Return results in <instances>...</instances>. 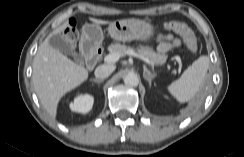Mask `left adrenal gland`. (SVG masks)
I'll return each mask as SVG.
<instances>
[{"mask_svg":"<svg viewBox=\"0 0 244 157\" xmlns=\"http://www.w3.org/2000/svg\"><path fill=\"white\" fill-rule=\"evenodd\" d=\"M143 77L145 80L148 81L149 86L152 84V80L156 77L155 73H152L150 70L147 69V67L144 65L143 66Z\"/></svg>","mask_w":244,"mask_h":157,"instance_id":"a2214340","label":"left adrenal gland"}]
</instances>
